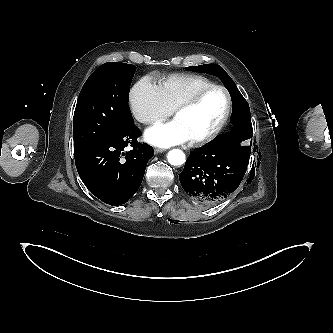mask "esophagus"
<instances>
[{"instance_id":"obj_1","label":"esophagus","mask_w":333,"mask_h":333,"mask_svg":"<svg viewBox=\"0 0 333 333\" xmlns=\"http://www.w3.org/2000/svg\"><path fill=\"white\" fill-rule=\"evenodd\" d=\"M165 150L164 149H161V148H155L154 149V152H155V154H159V153H162V152H164Z\"/></svg>"}]
</instances>
